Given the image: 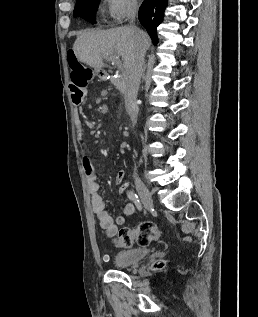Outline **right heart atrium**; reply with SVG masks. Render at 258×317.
Returning <instances> with one entry per match:
<instances>
[{"mask_svg":"<svg viewBox=\"0 0 258 317\" xmlns=\"http://www.w3.org/2000/svg\"><path fill=\"white\" fill-rule=\"evenodd\" d=\"M136 10L135 0H108L105 19L110 26H121Z\"/></svg>","mask_w":258,"mask_h":317,"instance_id":"1","label":"right heart atrium"}]
</instances>
